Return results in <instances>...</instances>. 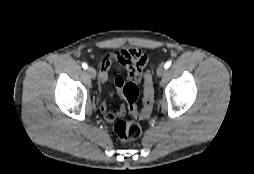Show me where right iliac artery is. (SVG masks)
<instances>
[{
	"instance_id": "82829eb1",
	"label": "right iliac artery",
	"mask_w": 254,
	"mask_h": 174,
	"mask_svg": "<svg viewBox=\"0 0 254 174\" xmlns=\"http://www.w3.org/2000/svg\"><path fill=\"white\" fill-rule=\"evenodd\" d=\"M82 67H83L84 69H87L88 66H87L86 63H83V64H82Z\"/></svg>"
}]
</instances>
